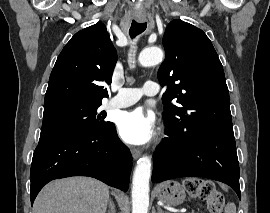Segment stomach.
<instances>
[{"label":"stomach","mask_w":270,"mask_h":213,"mask_svg":"<svg viewBox=\"0 0 270 213\" xmlns=\"http://www.w3.org/2000/svg\"><path fill=\"white\" fill-rule=\"evenodd\" d=\"M158 200L170 206L180 205L185 200V191L179 182L169 180L159 184L156 188Z\"/></svg>","instance_id":"0dacf381"}]
</instances>
